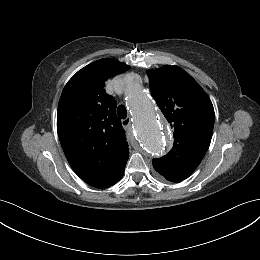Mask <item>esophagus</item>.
<instances>
[{
    "instance_id": "34e87169",
    "label": "esophagus",
    "mask_w": 260,
    "mask_h": 260,
    "mask_svg": "<svg viewBox=\"0 0 260 260\" xmlns=\"http://www.w3.org/2000/svg\"><path fill=\"white\" fill-rule=\"evenodd\" d=\"M130 124H131V119L130 118H126V119L122 120L123 127L128 128L130 126Z\"/></svg>"
}]
</instances>
